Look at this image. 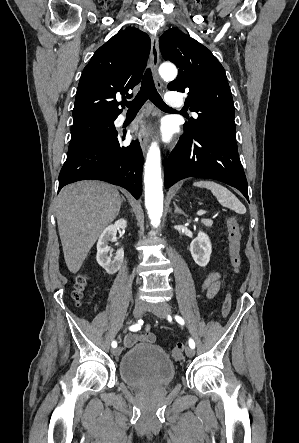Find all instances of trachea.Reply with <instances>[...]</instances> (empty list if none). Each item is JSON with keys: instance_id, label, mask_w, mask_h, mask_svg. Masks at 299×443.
<instances>
[{"instance_id": "1", "label": "trachea", "mask_w": 299, "mask_h": 443, "mask_svg": "<svg viewBox=\"0 0 299 443\" xmlns=\"http://www.w3.org/2000/svg\"><path fill=\"white\" fill-rule=\"evenodd\" d=\"M147 99L153 102L160 109L172 110V108L165 104V102L157 92L154 85L152 73L149 68L145 71L140 91L132 101H126L125 105L128 107V111L137 112L147 101Z\"/></svg>"}]
</instances>
